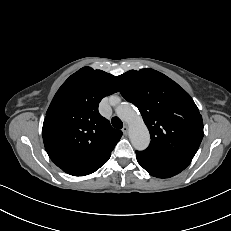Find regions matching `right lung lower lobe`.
<instances>
[{
	"label": "right lung lower lobe",
	"mask_w": 231,
	"mask_h": 231,
	"mask_svg": "<svg viewBox=\"0 0 231 231\" xmlns=\"http://www.w3.org/2000/svg\"><path fill=\"white\" fill-rule=\"evenodd\" d=\"M110 157L106 158L104 161H102L98 166H96L95 168H93L92 170L86 172L85 174L83 175H88V174H91L93 172H95L97 169H99L101 166H103L109 159Z\"/></svg>",
	"instance_id": "98d812e1"
}]
</instances>
